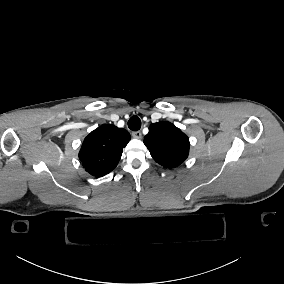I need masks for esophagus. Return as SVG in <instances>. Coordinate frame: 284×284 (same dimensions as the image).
<instances>
[{"label": "esophagus", "mask_w": 284, "mask_h": 284, "mask_svg": "<svg viewBox=\"0 0 284 284\" xmlns=\"http://www.w3.org/2000/svg\"><path fill=\"white\" fill-rule=\"evenodd\" d=\"M132 137L135 138V139H141L142 134H141L140 131L132 132Z\"/></svg>", "instance_id": "34e87169"}]
</instances>
